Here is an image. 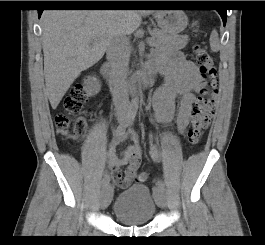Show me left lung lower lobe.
<instances>
[{"instance_id": "0a47b994", "label": "left lung lower lobe", "mask_w": 265, "mask_h": 245, "mask_svg": "<svg viewBox=\"0 0 265 245\" xmlns=\"http://www.w3.org/2000/svg\"><path fill=\"white\" fill-rule=\"evenodd\" d=\"M181 1H153L152 5L154 6H176L178 4H180ZM218 13L220 14L224 25L226 24V19H227V10L225 9H220L217 10Z\"/></svg>"}]
</instances>
